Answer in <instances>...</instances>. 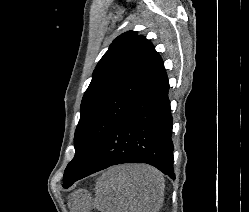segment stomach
Wrapping results in <instances>:
<instances>
[{
	"mask_svg": "<svg viewBox=\"0 0 249 212\" xmlns=\"http://www.w3.org/2000/svg\"><path fill=\"white\" fill-rule=\"evenodd\" d=\"M92 196L87 190H79L69 196V208L71 212H90Z\"/></svg>",
	"mask_w": 249,
	"mask_h": 212,
	"instance_id": "stomach-1",
	"label": "stomach"
}]
</instances>
